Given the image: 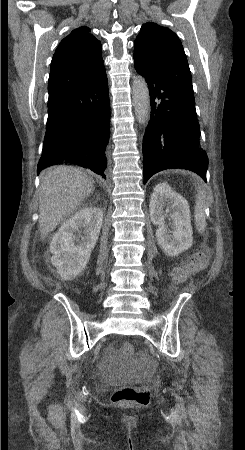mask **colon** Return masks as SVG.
<instances>
[{"instance_id": "obj_1", "label": "colon", "mask_w": 245, "mask_h": 450, "mask_svg": "<svg viewBox=\"0 0 245 450\" xmlns=\"http://www.w3.org/2000/svg\"><path fill=\"white\" fill-rule=\"evenodd\" d=\"M209 248L203 247L193 255L189 262L177 266L172 272V282L174 286L183 283L192 274L204 269L208 263ZM120 351L124 356L133 354V346L130 343H122ZM150 400V391L144 385L123 386L117 389L112 395L115 403L126 402L137 405L147 404Z\"/></svg>"}]
</instances>
